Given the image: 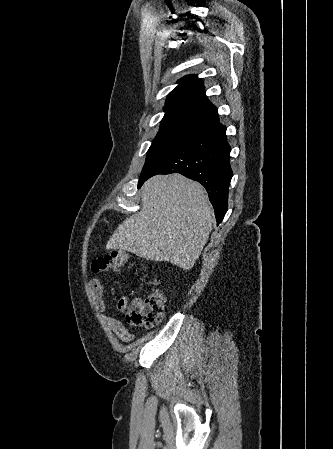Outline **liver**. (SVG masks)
<instances>
[{"label": "liver", "mask_w": 333, "mask_h": 449, "mask_svg": "<svg viewBox=\"0 0 333 449\" xmlns=\"http://www.w3.org/2000/svg\"><path fill=\"white\" fill-rule=\"evenodd\" d=\"M141 201V211L117 227L106 248L191 269L215 221L203 186L180 174L157 175L142 186Z\"/></svg>", "instance_id": "1"}]
</instances>
